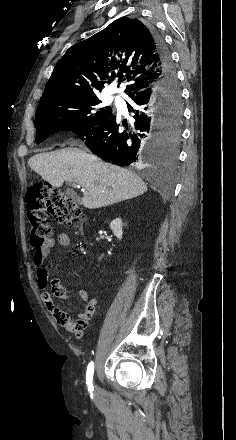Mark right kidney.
<instances>
[{"label":"right kidney","instance_id":"right-kidney-1","mask_svg":"<svg viewBox=\"0 0 236 440\" xmlns=\"http://www.w3.org/2000/svg\"><path fill=\"white\" fill-rule=\"evenodd\" d=\"M110 229L119 240L122 239V220L120 218H116L110 223Z\"/></svg>","mask_w":236,"mask_h":440}]
</instances>
